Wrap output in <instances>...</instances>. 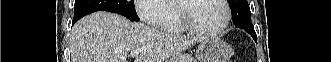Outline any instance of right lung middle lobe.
Returning <instances> with one entry per match:
<instances>
[{"instance_id":"1","label":"right lung middle lobe","mask_w":331,"mask_h":62,"mask_svg":"<svg viewBox=\"0 0 331 62\" xmlns=\"http://www.w3.org/2000/svg\"><path fill=\"white\" fill-rule=\"evenodd\" d=\"M101 10L121 14L131 21H139L134 0H75L73 19L79 20Z\"/></svg>"}]
</instances>
